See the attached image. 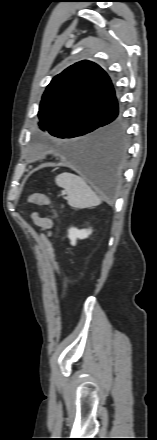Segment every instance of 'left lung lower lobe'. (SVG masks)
I'll use <instances>...</instances> for the list:
<instances>
[{
  "label": "left lung lower lobe",
  "instance_id": "left-lung-lower-lobe-1",
  "mask_svg": "<svg viewBox=\"0 0 157 440\" xmlns=\"http://www.w3.org/2000/svg\"><path fill=\"white\" fill-rule=\"evenodd\" d=\"M126 151V124L119 111L96 135L65 146L71 164L105 194H112L117 186Z\"/></svg>",
  "mask_w": 157,
  "mask_h": 440
}]
</instances>
